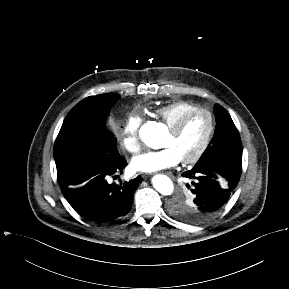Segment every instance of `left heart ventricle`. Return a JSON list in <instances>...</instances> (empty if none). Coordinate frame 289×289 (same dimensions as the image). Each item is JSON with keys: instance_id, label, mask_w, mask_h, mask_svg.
Wrapping results in <instances>:
<instances>
[{"instance_id": "obj_1", "label": "left heart ventricle", "mask_w": 289, "mask_h": 289, "mask_svg": "<svg viewBox=\"0 0 289 289\" xmlns=\"http://www.w3.org/2000/svg\"><path fill=\"white\" fill-rule=\"evenodd\" d=\"M209 128L208 116L196 114L187 121L180 133L174 135L169 131L162 146L173 148L181 159L188 158L201 147Z\"/></svg>"}]
</instances>
